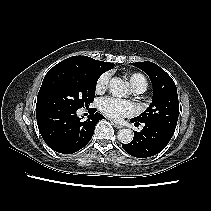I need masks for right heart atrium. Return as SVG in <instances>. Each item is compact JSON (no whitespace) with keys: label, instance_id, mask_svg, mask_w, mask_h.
<instances>
[{"label":"right heart atrium","instance_id":"1","mask_svg":"<svg viewBox=\"0 0 211 211\" xmlns=\"http://www.w3.org/2000/svg\"><path fill=\"white\" fill-rule=\"evenodd\" d=\"M109 80H110V75L108 73L102 74L97 80L95 87L96 92L98 93L104 92L108 86Z\"/></svg>","mask_w":211,"mask_h":211}]
</instances>
